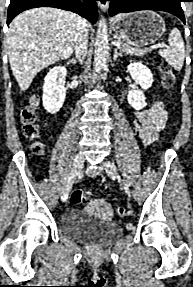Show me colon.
<instances>
[{
  "label": "colon",
  "instance_id": "colon-1",
  "mask_svg": "<svg viewBox=\"0 0 193 287\" xmlns=\"http://www.w3.org/2000/svg\"><path fill=\"white\" fill-rule=\"evenodd\" d=\"M161 72L163 74V86L166 89H171L175 82V77L173 71L168 63H162ZM38 101L36 99L32 100L31 103L25 107L21 113V121H22V131L25 137L29 139L36 138L38 134V126H37V109ZM35 151L37 153H41L42 147L40 145L35 146ZM93 199L92 193L88 191H83L81 189H75L70 197L72 204H86L91 202ZM124 207L116 208V215L120 218L125 216Z\"/></svg>",
  "mask_w": 193,
  "mask_h": 287
}]
</instances>
